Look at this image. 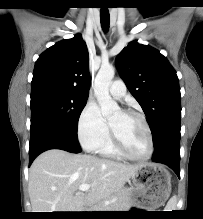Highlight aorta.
I'll return each mask as SVG.
<instances>
[{
  "label": "aorta",
  "mask_w": 203,
  "mask_h": 219,
  "mask_svg": "<svg viewBox=\"0 0 203 219\" xmlns=\"http://www.w3.org/2000/svg\"><path fill=\"white\" fill-rule=\"evenodd\" d=\"M115 70L111 65H102L99 69L95 82L94 92L96 99L100 105L101 113L104 117H110L119 112L120 107L111 98L109 94V86L114 78Z\"/></svg>",
  "instance_id": "aorta-1"
}]
</instances>
